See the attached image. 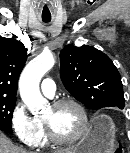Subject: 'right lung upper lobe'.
Segmentation results:
<instances>
[{
  "label": "right lung upper lobe",
  "instance_id": "obj_1",
  "mask_svg": "<svg viewBox=\"0 0 130 153\" xmlns=\"http://www.w3.org/2000/svg\"><path fill=\"white\" fill-rule=\"evenodd\" d=\"M26 59L27 50L20 41L0 37V96L16 98L18 78Z\"/></svg>",
  "mask_w": 130,
  "mask_h": 153
}]
</instances>
